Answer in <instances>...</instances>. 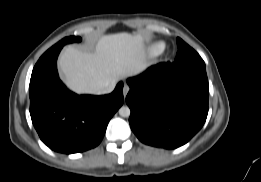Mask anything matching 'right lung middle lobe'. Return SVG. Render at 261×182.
Instances as JSON below:
<instances>
[{
    "label": "right lung middle lobe",
    "mask_w": 261,
    "mask_h": 182,
    "mask_svg": "<svg viewBox=\"0 0 261 182\" xmlns=\"http://www.w3.org/2000/svg\"><path fill=\"white\" fill-rule=\"evenodd\" d=\"M81 38L80 37H75V36H71V37H65L64 39H62L61 41H59L57 44L55 45H62L64 46L67 43H72V42H80ZM54 45V46H55Z\"/></svg>",
    "instance_id": "1"
}]
</instances>
